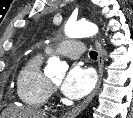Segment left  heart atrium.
<instances>
[{"instance_id":"39dd6f15","label":"left heart atrium","mask_w":133,"mask_h":118,"mask_svg":"<svg viewBox=\"0 0 133 118\" xmlns=\"http://www.w3.org/2000/svg\"><path fill=\"white\" fill-rule=\"evenodd\" d=\"M96 76L92 69L74 65L61 84L63 94L70 99H80L94 88Z\"/></svg>"}]
</instances>
